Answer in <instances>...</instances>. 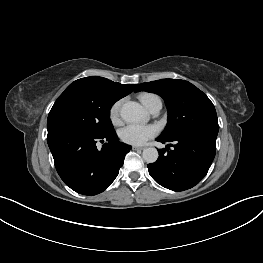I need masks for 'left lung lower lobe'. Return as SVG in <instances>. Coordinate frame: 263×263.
<instances>
[{
  "label": "left lung lower lobe",
  "mask_w": 263,
  "mask_h": 263,
  "mask_svg": "<svg viewBox=\"0 0 263 263\" xmlns=\"http://www.w3.org/2000/svg\"><path fill=\"white\" fill-rule=\"evenodd\" d=\"M216 137L194 133L170 140L157 138L163 144H174L158 150L157 161L147 166L150 176L161 186L173 191L192 188L204 178L211 166L215 157ZM169 146L174 148L169 150Z\"/></svg>",
  "instance_id": "obj_1"
}]
</instances>
